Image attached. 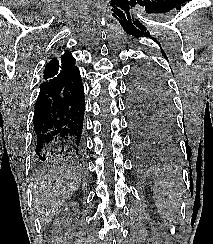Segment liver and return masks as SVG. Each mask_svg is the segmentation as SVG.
Listing matches in <instances>:
<instances>
[{
    "mask_svg": "<svg viewBox=\"0 0 213 244\" xmlns=\"http://www.w3.org/2000/svg\"><path fill=\"white\" fill-rule=\"evenodd\" d=\"M80 174L65 165H53L38 171L33 179V204L42 224L51 222L57 210L80 185Z\"/></svg>",
    "mask_w": 213,
    "mask_h": 244,
    "instance_id": "6515ba94",
    "label": "liver"
}]
</instances>
